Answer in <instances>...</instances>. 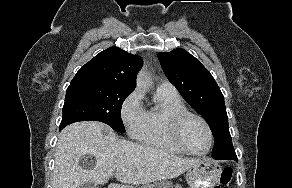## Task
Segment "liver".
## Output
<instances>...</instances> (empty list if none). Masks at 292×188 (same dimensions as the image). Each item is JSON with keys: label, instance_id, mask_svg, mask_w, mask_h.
I'll return each mask as SVG.
<instances>
[{"label": "liver", "instance_id": "1", "mask_svg": "<svg viewBox=\"0 0 292 188\" xmlns=\"http://www.w3.org/2000/svg\"><path fill=\"white\" fill-rule=\"evenodd\" d=\"M95 157L91 167H81L79 159ZM196 158H183L156 147L119 139L106 125L98 122H77L66 126L58 137L55 149L53 188H78L92 182L104 185L116 172L126 185H139L175 178L198 163ZM124 168L125 171H118Z\"/></svg>", "mask_w": 292, "mask_h": 188}]
</instances>
